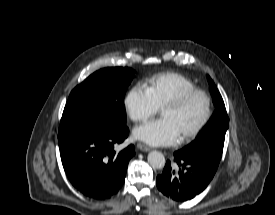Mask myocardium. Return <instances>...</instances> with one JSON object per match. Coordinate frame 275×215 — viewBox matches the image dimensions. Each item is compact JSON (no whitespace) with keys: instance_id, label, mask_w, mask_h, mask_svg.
I'll return each mask as SVG.
<instances>
[{"instance_id":"f54148a6","label":"myocardium","mask_w":275,"mask_h":215,"mask_svg":"<svg viewBox=\"0 0 275 215\" xmlns=\"http://www.w3.org/2000/svg\"><path fill=\"white\" fill-rule=\"evenodd\" d=\"M202 95L206 101V112L203 117V119L200 121V123L194 127L191 131L186 133L183 137H181V141H189L193 138H195L209 123L212 113H213V103L211 96L209 93L201 88H192L185 90L181 93H179L174 98L168 100L162 107L161 110L164 108H178L182 106L189 98H191L194 95Z\"/></svg>"}]
</instances>
